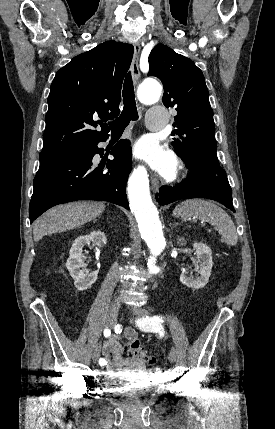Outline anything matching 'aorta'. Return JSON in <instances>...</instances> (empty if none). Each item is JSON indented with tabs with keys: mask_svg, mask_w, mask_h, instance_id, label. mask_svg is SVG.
I'll list each match as a JSON object with an SVG mask.
<instances>
[{
	"mask_svg": "<svg viewBox=\"0 0 275 429\" xmlns=\"http://www.w3.org/2000/svg\"><path fill=\"white\" fill-rule=\"evenodd\" d=\"M161 91L162 88L157 81L148 80L140 85L138 98L143 104H153L159 100ZM127 191L130 208L137 220L141 238L150 249L149 272L156 274L159 272V268L155 265L156 258L165 249L166 241L158 211L151 199L149 180L144 169L138 168L133 171L128 180Z\"/></svg>",
	"mask_w": 275,
	"mask_h": 429,
	"instance_id": "762f6f07",
	"label": "aorta"
}]
</instances>
